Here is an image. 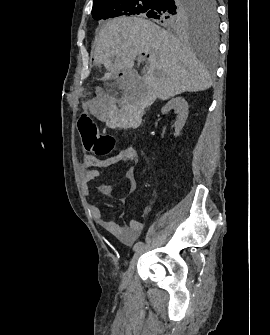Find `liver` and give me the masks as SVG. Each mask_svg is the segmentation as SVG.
Masks as SVG:
<instances>
[{"mask_svg":"<svg viewBox=\"0 0 270 335\" xmlns=\"http://www.w3.org/2000/svg\"><path fill=\"white\" fill-rule=\"evenodd\" d=\"M139 54L148 56L147 74L140 78V86L149 102L212 86L209 72L190 48L150 20L120 16L100 30L94 52L96 64H104L113 74L132 72Z\"/></svg>","mask_w":270,"mask_h":335,"instance_id":"liver-1","label":"liver"}]
</instances>
